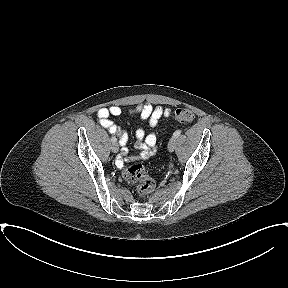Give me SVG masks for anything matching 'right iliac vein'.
I'll use <instances>...</instances> for the list:
<instances>
[{"label": "right iliac vein", "instance_id": "right-iliac-vein-1", "mask_svg": "<svg viewBox=\"0 0 288 288\" xmlns=\"http://www.w3.org/2000/svg\"><path fill=\"white\" fill-rule=\"evenodd\" d=\"M111 150L113 153H117L119 151V145L117 142H112Z\"/></svg>", "mask_w": 288, "mask_h": 288}]
</instances>
